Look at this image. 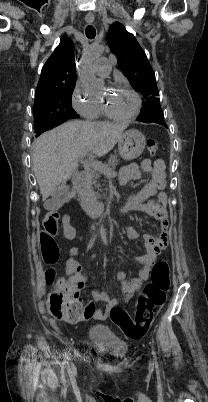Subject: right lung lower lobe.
Returning <instances> with one entry per match:
<instances>
[{
	"instance_id": "obj_1",
	"label": "right lung lower lobe",
	"mask_w": 208,
	"mask_h": 402,
	"mask_svg": "<svg viewBox=\"0 0 208 402\" xmlns=\"http://www.w3.org/2000/svg\"><path fill=\"white\" fill-rule=\"evenodd\" d=\"M65 121L58 120L56 118H47V119H40L35 121V129L39 131L38 136L47 131L50 130L60 124H62Z\"/></svg>"
}]
</instances>
